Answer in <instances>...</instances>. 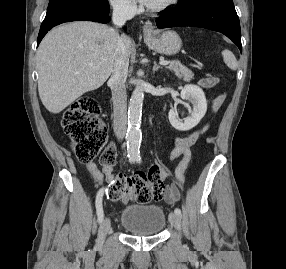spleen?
Wrapping results in <instances>:
<instances>
[{"instance_id": "obj_1", "label": "spleen", "mask_w": 286, "mask_h": 269, "mask_svg": "<svg viewBox=\"0 0 286 269\" xmlns=\"http://www.w3.org/2000/svg\"><path fill=\"white\" fill-rule=\"evenodd\" d=\"M222 56H223L224 62L227 64V66L230 69H232V70H236L237 69V61H236V58H235L234 54L231 51L224 50L222 52Z\"/></svg>"}]
</instances>
